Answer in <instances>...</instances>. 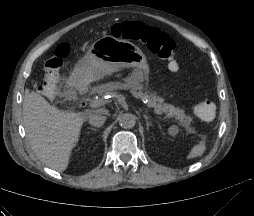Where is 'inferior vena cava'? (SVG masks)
Masks as SVG:
<instances>
[{
  "instance_id": "602c4592",
  "label": "inferior vena cava",
  "mask_w": 254,
  "mask_h": 216,
  "mask_svg": "<svg viewBox=\"0 0 254 216\" xmlns=\"http://www.w3.org/2000/svg\"><path fill=\"white\" fill-rule=\"evenodd\" d=\"M106 121V116L102 115L101 113H94L89 117V123L92 126L100 127Z\"/></svg>"
}]
</instances>
